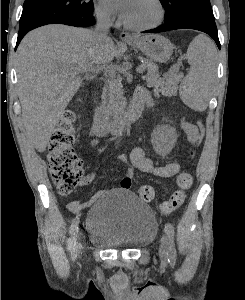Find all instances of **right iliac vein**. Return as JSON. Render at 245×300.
Masks as SVG:
<instances>
[{"label":"right iliac vein","mask_w":245,"mask_h":300,"mask_svg":"<svg viewBox=\"0 0 245 300\" xmlns=\"http://www.w3.org/2000/svg\"><path fill=\"white\" fill-rule=\"evenodd\" d=\"M79 239H80V237H78ZM77 248L80 250L81 248H82V245H81V243H78V246H77Z\"/></svg>","instance_id":"obj_1"}]
</instances>
